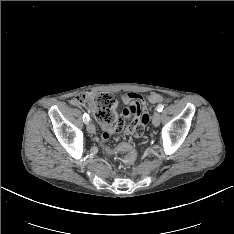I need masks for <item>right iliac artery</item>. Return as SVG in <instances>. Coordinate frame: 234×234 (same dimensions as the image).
Instances as JSON below:
<instances>
[{
    "mask_svg": "<svg viewBox=\"0 0 234 234\" xmlns=\"http://www.w3.org/2000/svg\"><path fill=\"white\" fill-rule=\"evenodd\" d=\"M83 121L87 124L89 122V115L88 114H84L83 115Z\"/></svg>",
    "mask_w": 234,
    "mask_h": 234,
    "instance_id": "obj_1",
    "label": "right iliac artery"
}]
</instances>
